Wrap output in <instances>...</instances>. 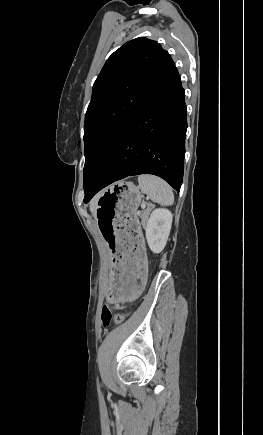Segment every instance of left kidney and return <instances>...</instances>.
Returning a JSON list of instances; mask_svg holds the SVG:
<instances>
[{
	"label": "left kidney",
	"instance_id": "left-kidney-1",
	"mask_svg": "<svg viewBox=\"0 0 263 435\" xmlns=\"http://www.w3.org/2000/svg\"><path fill=\"white\" fill-rule=\"evenodd\" d=\"M172 213L163 208L155 209L145 226L148 246L154 253H160L166 246L172 226Z\"/></svg>",
	"mask_w": 263,
	"mask_h": 435
}]
</instances>
